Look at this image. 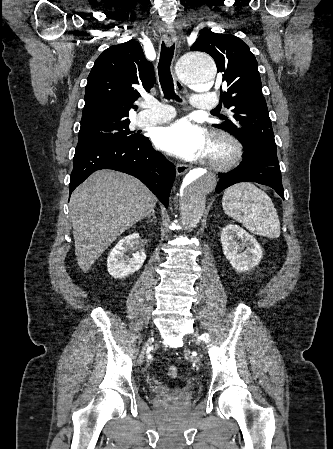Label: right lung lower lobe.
I'll return each instance as SVG.
<instances>
[{"mask_svg": "<svg viewBox=\"0 0 333 449\" xmlns=\"http://www.w3.org/2000/svg\"><path fill=\"white\" fill-rule=\"evenodd\" d=\"M99 169H113L142 181L168 207L175 179V167L151 146L147 137L130 144L120 141H92L77 144L69 191Z\"/></svg>", "mask_w": 333, "mask_h": 449, "instance_id": "obj_1", "label": "right lung lower lobe"}]
</instances>
